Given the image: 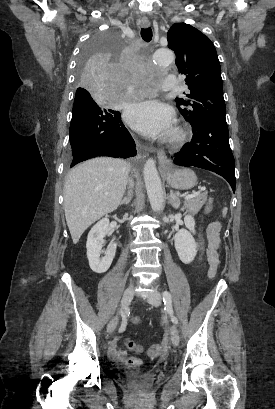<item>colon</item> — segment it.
<instances>
[{
	"label": "colon",
	"instance_id": "5ec220e1",
	"mask_svg": "<svg viewBox=\"0 0 275 409\" xmlns=\"http://www.w3.org/2000/svg\"><path fill=\"white\" fill-rule=\"evenodd\" d=\"M213 208V200L210 199L209 202L206 204L204 213L209 214L210 211ZM204 245H205V240L203 237L199 238V256L200 260L202 261L203 259V253H204ZM136 344L133 341H128L127 342V347L128 348H133ZM161 343L160 342H151L149 344V350H148V357L149 358H158L160 355V350H161Z\"/></svg>",
	"mask_w": 275,
	"mask_h": 409
}]
</instances>
